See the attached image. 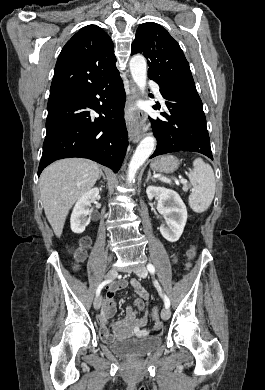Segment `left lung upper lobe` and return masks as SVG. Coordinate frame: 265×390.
<instances>
[{"label": "left lung upper lobe", "mask_w": 265, "mask_h": 390, "mask_svg": "<svg viewBox=\"0 0 265 390\" xmlns=\"http://www.w3.org/2000/svg\"><path fill=\"white\" fill-rule=\"evenodd\" d=\"M147 58L148 77L161 87L195 86L189 63L179 44L159 24H141L132 43L131 54Z\"/></svg>", "instance_id": "1"}]
</instances>
